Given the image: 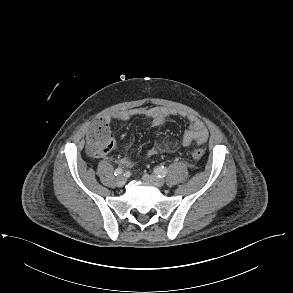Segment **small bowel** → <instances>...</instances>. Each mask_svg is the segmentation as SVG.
<instances>
[{
	"mask_svg": "<svg viewBox=\"0 0 293 293\" xmlns=\"http://www.w3.org/2000/svg\"><path fill=\"white\" fill-rule=\"evenodd\" d=\"M175 115L185 118L189 123L188 129L183 137V144L185 146H188L192 141H196L199 144L207 142L209 134L203 121L193 115L177 112L165 107H138L129 110L115 111L106 114L102 119L109 124L114 120L125 121L132 117H145L150 120L151 126L157 127L162 125L167 118ZM113 142L115 146V141L113 140ZM165 150V146H154L147 150L146 155L151 157ZM119 162L125 167L133 166V161L129 157H123Z\"/></svg>",
	"mask_w": 293,
	"mask_h": 293,
	"instance_id": "obj_1",
	"label": "small bowel"
}]
</instances>
